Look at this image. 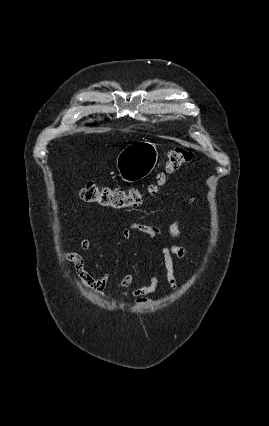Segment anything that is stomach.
<instances>
[{
  "mask_svg": "<svg viewBox=\"0 0 269 426\" xmlns=\"http://www.w3.org/2000/svg\"><path fill=\"white\" fill-rule=\"evenodd\" d=\"M158 151L154 143L137 141L126 146L117 156L116 169L125 182H137L147 177L158 161Z\"/></svg>",
  "mask_w": 269,
  "mask_h": 426,
  "instance_id": "obj_1",
  "label": "stomach"
}]
</instances>
